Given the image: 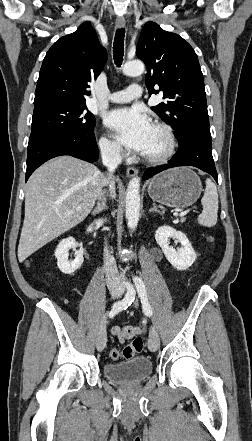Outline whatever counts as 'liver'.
<instances>
[{"mask_svg":"<svg viewBox=\"0 0 252 441\" xmlns=\"http://www.w3.org/2000/svg\"><path fill=\"white\" fill-rule=\"evenodd\" d=\"M104 178L95 165L66 155L39 167L26 185L19 261L81 223L94 207Z\"/></svg>","mask_w":252,"mask_h":441,"instance_id":"1","label":"liver"}]
</instances>
